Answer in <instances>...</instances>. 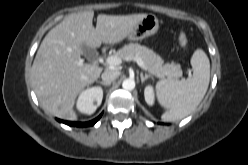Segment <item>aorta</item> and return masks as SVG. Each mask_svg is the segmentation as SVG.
<instances>
[{
	"label": "aorta",
	"instance_id": "1",
	"mask_svg": "<svg viewBox=\"0 0 248 165\" xmlns=\"http://www.w3.org/2000/svg\"><path fill=\"white\" fill-rule=\"evenodd\" d=\"M122 87L125 90H133L135 88V81L131 78L125 79L122 83Z\"/></svg>",
	"mask_w": 248,
	"mask_h": 165
}]
</instances>
